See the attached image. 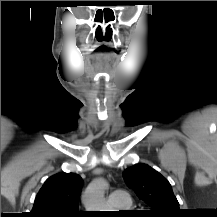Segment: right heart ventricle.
<instances>
[{"mask_svg":"<svg viewBox=\"0 0 217 217\" xmlns=\"http://www.w3.org/2000/svg\"><path fill=\"white\" fill-rule=\"evenodd\" d=\"M131 205H132V203L129 206H127L125 209L129 208Z\"/></svg>","mask_w":217,"mask_h":217,"instance_id":"obj_1","label":"right heart ventricle"}]
</instances>
